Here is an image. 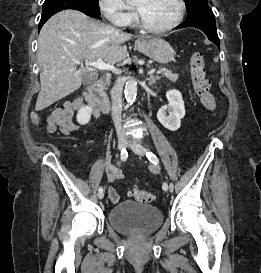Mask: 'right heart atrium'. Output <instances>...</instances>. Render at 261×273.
I'll return each instance as SVG.
<instances>
[{
	"instance_id": "1",
	"label": "right heart atrium",
	"mask_w": 261,
	"mask_h": 273,
	"mask_svg": "<svg viewBox=\"0 0 261 273\" xmlns=\"http://www.w3.org/2000/svg\"><path fill=\"white\" fill-rule=\"evenodd\" d=\"M104 17L113 25L125 27L133 19L134 12L124 0H99Z\"/></svg>"
}]
</instances>
